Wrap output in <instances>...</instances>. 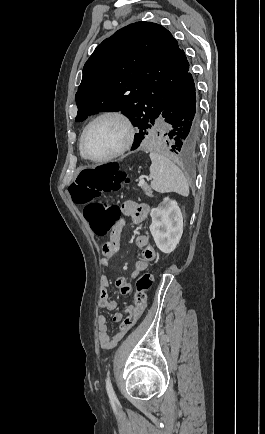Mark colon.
Segmentation results:
<instances>
[{"mask_svg": "<svg viewBox=\"0 0 265 434\" xmlns=\"http://www.w3.org/2000/svg\"><path fill=\"white\" fill-rule=\"evenodd\" d=\"M118 161L112 158L109 164H87L78 172L77 180L67 185V192L72 193V202L84 204L83 214L90 228L97 236H108L120 218L117 204L98 199L102 192H118L127 181L125 173L118 167ZM155 278L150 271L139 275L136 279L135 311L131 319H122L116 333L118 340L134 328L147 306V291L152 287ZM131 290V288H130Z\"/></svg>", "mask_w": 265, "mask_h": 434, "instance_id": "5ec220e1", "label": "colon"}]
</instances>
